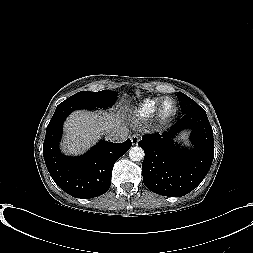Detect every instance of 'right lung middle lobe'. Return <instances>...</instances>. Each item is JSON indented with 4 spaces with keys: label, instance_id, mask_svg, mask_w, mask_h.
Returning a JSON list of instances; mask_svg holds the SVG:
<instances>
[{
    "label": "right lung middle lobe",
    "instance_id": "obj_1",
    "mask_svg": "<svg viewBox=\"0 0 253 253\" xmlns=\"http://www.w3.org/2000/svg\"><path fill=\"white\" fill-rule=\"evenodd\" d=\"M117 98V92L103 90L99 92H87L81 91L78 92L61 104L66 105H79V104H86L89 105L90 108H106L111 106Z\"/></svg>",
    "mask_w": 253,
    "mask_h": 253
}]
</instances>
